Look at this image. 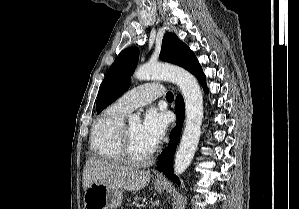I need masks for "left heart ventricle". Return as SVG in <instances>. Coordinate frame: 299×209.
Wrapping results in <instances>:
<instances>
[{"mask_svg": "<svg viewBox=\"0 0 299 209\" xmlns=\"http://www.w3.org/2000/svg\"><path fill=\"white\" fill-rule=\"evenodd\" d=\"M127 131L130 139L132 155L137 159H141L150 154L153 149L141 137L140 125H129L127 126Z\"/></svg>", "mask_w": 299, "mask_h": 209, "instance_id": "obj_1", "label": "left heart ventricle"}]
</instances>
